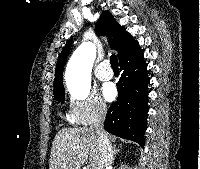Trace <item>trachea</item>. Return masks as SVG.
Here are the masks:
<instances>
[{
	"mask_svg": "<svg viewBox=\"0 0 200 169\" xmlns=\"http://www.w3.org/2000/svg\"><path fill=\"white\" fill-rule=\"evenodd\" d=\"M110 64L114 71H119V64H118V59L116 55L112 54L110 56Z\"/></svg>",
	"mask_w": 200,
	"mask_h": 169,
	"instance_id": "3493384b",
	"label": "trachea"
}]
</instances>
